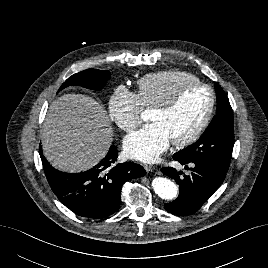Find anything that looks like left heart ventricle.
Segmentation results:
<instances>
[{
    "label": "left heart ventricle",
    "instance_id": "b2bd125f",
    "mask_svg": "<svg viewBox=\"0 0 268 268\" xmlns=\"http://www.w3.org/2000/svg\"><path fill=\"white\" fill-rule=\"evenodd\" d=\"M209 99L207 89L190 88L182 94L171 111L161 113L152 110L149 118L164 128L171 141L179 140L189 135L200 122L208 107Z\"/></svg>",
    "mask_w": 268,
    "mask_h": 268
}]
</instances>
